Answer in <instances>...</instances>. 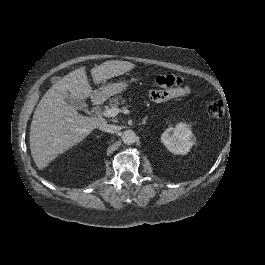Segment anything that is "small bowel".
I'll use <instances>...</instances> for the list:
<instances>
[{"mask_svg": "<svg viewBox=\"0 0 265 265\" xmlns=\"http://www.w3.org/2000/svg\"><path fill=\"white\" fill-rule=\"evenodd\" d=\"M189 93V89H164V90H152L149 97L152 101L160 103L171 99L182 97Z\"/></svg>", "mask_w": 265, "mask_h": 265, "instance_id": "1", "label": "small bowel"}]
</instances>
